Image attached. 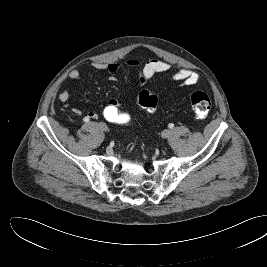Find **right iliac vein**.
Instances as JSON below:
<instances>
[{"mask_svg":"<svg viewBox=\"0 0 267 267\" xmlns=\"http://www.w3.org/2000/svg\"><path fill=\"white\" fill-rule=\"evenodd\" d=\"M99 127H100L103 131H108V127H107V125L104 124V123H100V124H99Z\"/></svg>","mask_w":267,"mask_h":267,"instance_id":"63e3f726","label":"right iliac vein"}]
</instances>
